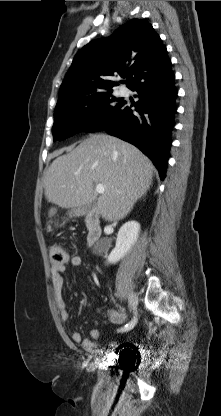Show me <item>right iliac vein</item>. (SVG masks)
Returning a JSON list of instances; mask_svg holds the SVG:
<instances>
[{
  "mask_svg": "<svg viewBox=\"0 0 221 416\" xmlns=\"http://www.w3.org/2000/svg\"><path fill=\"white\" fill-rule=\"evenodd\" d=\"M129 305L131 310L135 311L138 305V297L136 294H131L129 297Z\"/></svg>",
  "mask_w": 221,
  "mask_h": 416,
  "instance_id": "1",
  "label": "right iliac vein"
}]
</instances>
